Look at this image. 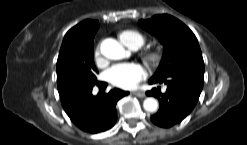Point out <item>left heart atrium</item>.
<instances>
[{
  "instance_id": "obj_1",
  "label": "left heart atrium",
  "mask_w": 247,
  "mask_h": 145,
  "mask_svg": "<svg viewBox=\"0 0 247 145\" xmlns=\"http://www.w3.org/2000/svg\"><path fill=\"white\" fill-rule=\"evenodd\" d=\"M145 77V69L137 63L118 64L106 72V78L111 84L124 89L134 88Z\"/></svg>"
}]
</instances>
